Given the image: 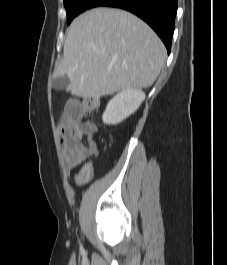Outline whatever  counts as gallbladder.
<instances>
[{"label": "gallbladder", "mask_w": 227, "mask_h": 265, "mask_svg": "<svg viewBox=\"0 0 227 265\" xmlns=\"http://www.w3.org/2000/svg\"><path fill=\"white\" fill-rule=\"evenodd\" d=\"M69 85V79L66 75L53 79V87L55 89H64Z\"/></svg>", "instance_id": "gallbladder-1"}]
</instances>
